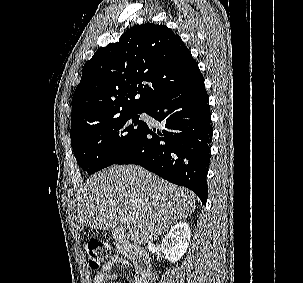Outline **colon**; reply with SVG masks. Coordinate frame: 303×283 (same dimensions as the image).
<instances>
[{"label":"colon","instance_id":"1","mask_svg":"<svg viewBox=\"0 0 303 283\" xmlns=\"http://www.w3.org/2000/svg\"><path fill=\"white\" fill-rule=\"evenodd\" d=\"M84 251L89 267L92 270H102L104 264L111 258L112 245L104 240L91 239L85 242Z\"/></svg>","mask_w":303,"mask_h":283}]
</instances>
